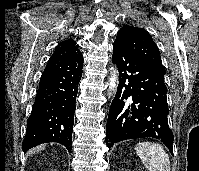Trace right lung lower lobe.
Instances as JSON below:
<instances>
[{
  "instance_id": "1",
  "label": "right lung lower lobe",
  "mask_w": 199,
  "mask_h": 171,
  "mask_svg": "<svg viewBox=\"0 0 199 171\" xmlns=\"http://www.w3.org/2000/svg\"><path fill=\"white\" fill-rule=\"evenodd\" d=\"M83 56L50 58L42 73L22 143L25 152L42 143L57 142L71 152L72 129Z\"/></svg>"
}]
</instances>
